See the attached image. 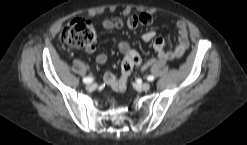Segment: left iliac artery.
Listing matches in <instances>:
<instances>
[{
	"label": "left iliac artery",
	"mask_w": 247,
	"mask_h": 145,
	"mask_svg": "<svg viewBox=\"0 0 247 145\" xmlns=\"http://www.w3.org/2000/svg\"><path fill=\"white\" fill-rule=\"evenodd\" d=\"M147 80H148V81H153V80H154V76H152V75L148 76V77H147Z\"/></svg>",
	"instance_id": "left-iliac-artery-1"
}]
</instances>
